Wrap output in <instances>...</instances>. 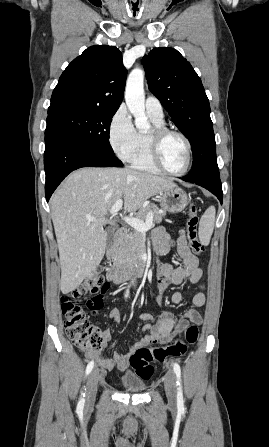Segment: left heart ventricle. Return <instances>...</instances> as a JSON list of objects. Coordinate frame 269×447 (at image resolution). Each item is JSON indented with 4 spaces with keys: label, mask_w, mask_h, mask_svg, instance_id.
<instances>
[{
    "label": "left heart ventricle",
    "mask_w": 269,
    "mask_h": 447,
    "mask_svg": "<svg viewBox=\"0 0 269 447\" xmlns=\"http://www.w3.org/2000/svg\"><path fill=\"white\" fill-rule=\"evenodd\" d=\"M162 156L168 168L181 170L187 160L185 142L179 136L169 135L162 143Z\"/></svg>",
    "instance_id": "left-heart-ventricle-1"
}]
</instances>
